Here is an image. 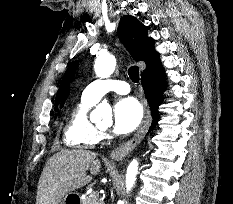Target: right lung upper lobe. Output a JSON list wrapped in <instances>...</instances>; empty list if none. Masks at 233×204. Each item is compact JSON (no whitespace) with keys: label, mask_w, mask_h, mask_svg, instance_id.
<instances>
[{"label":"right lung upper lobe","mask_w":233,"mask_h":204,"mask_svg":"<svg viewBox=\"0 0 233 204\" xmlns=\"http://www.w3.org/2000/svg\"><path fill=\"white\" fill-rule=\"evenodd\" d=\"M117 33L131 56L136 61L145 62L146 69L141 74L161 64L159 54L154 48L153 39L147 36L146 27L139 23L135 17L129 15L123 16L119 22ZM77 66L78 61H75L66 70L55 99V109L73 78Z\"/></svg>","instance_id":"1"}]
</instances>
